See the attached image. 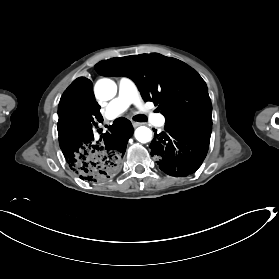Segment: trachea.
Wrapping results in <instances>:
<instances>
[{
	"label": "trachea",
	"mask_w": 279,
	"mask_h": 279,
	"mask_svg": "<svg viewBox=\"0 0 279 279\" xmlns=\"http://www.w3.org/2000/svg\"><path fill=\"white\" fill-rule=\"evenodd\" d=\"M134 120L139 121V122H145L146 121V116L137 115V116L134 117Z\"/></svg>",
	"instance_id": "3493384b"
}]
</instances>
